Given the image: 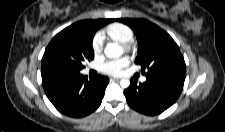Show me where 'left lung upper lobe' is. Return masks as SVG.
<instances>
[{
	"label": "left lung upper lobe",
	"mask_w": 225,
	"mask_h": 132,
	"mask_svg": "<svg viewBox=\"0 0 225 132\" xmlns=\"http://www.w3.org/2000/svg\"><path fill=\"white\" fill-rule=\"evenodd\" d=\"M132 28L138 39V56L146 76L185 78L186 65L178 45L157 25L145 19L118 18ZM146 71V72H145Z\"/></svg>",
	"instance_id": "left-lung-upper-lobe-1"
}]
</instances>
